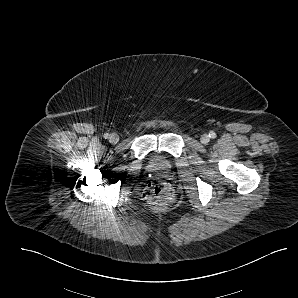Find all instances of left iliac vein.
<instances>
[{
    "label": "left iliac vein",
    "instance_id": "4c4485c4",
    "mask_svg": "<svg viewBox=\"0 0 298 298\" xmlns=\"http://www.w3.org/2000/svg\"><path fill=\"white\" fill-rule=\"evenodd\" d=\"M200 141H201V143H203V144H207V143L210 141V138H209L208 135L203 134V135L201 136V138H200Z\"/></svg>",
    "mask_w": 298,
    "mask_h": 298
}]
</instances>
